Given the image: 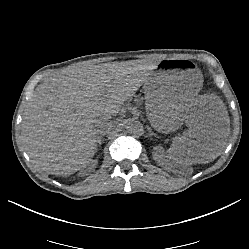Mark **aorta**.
I'll return each mask as SVG.
<instances>
[{
    "label": "aorta",
    "mask_w": 249,
    "mask_h": 249,
    "mask_svg": "<svg viewBox=\"0 0 249 249\" xmlns=\"http://www.w3.org/2000/svg\"><path fill=\"white\" fill-rule=\"evenodd\" d=\"M125 128L130 134L139 135L143 129L142 124L135 118L126 121Z\"/></svg>",
    "instance_id": "obj_1"
}]
</instances>
